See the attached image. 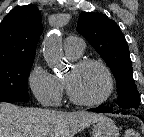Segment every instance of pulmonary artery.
<instances>
[{
    "mask_svg": "<svg viewBox=\"0 0 144 137\" xmlns=\"http://www.w3.org/2000/svg\"><path fill=\"white\" fill-rule=\"evenodd\" d=\"M65 50L67 53L79 56L83 52L84 42L77 37H67L64 42Z\"/></svg>",
    "mask_w": 144,
    "mask_h": 137,
    "instance_id": "pulmonary-artery-1",
    "label": "pulmonary artery"
}]
</instances>
